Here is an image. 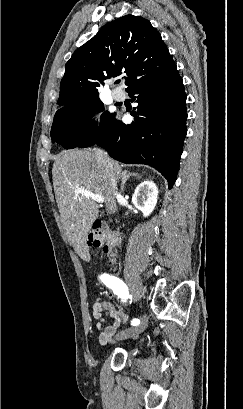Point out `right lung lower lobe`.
<instances>
[{"mask_svg":"<svg viewBox=\"0 0 243 409\" xmlns=\"http://www.w3.org/2000/svg\"><path fill=\"white\" fill-rule=\"evenodd\" d=\"M127 92L139 103L131 113L134 121L125 125L112 117L77 147L97 144L120 162L154 167L172 188L187 133L186 94L177 67L138 83Z\"/></svg>","mask_w":243,"mask_h":409,"instance_id":"right-lung-lower-lobe-1","label":"right lung lower lobe"}]
</instances>
